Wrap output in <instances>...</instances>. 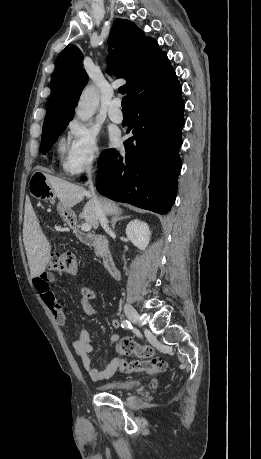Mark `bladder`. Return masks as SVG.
<instances>
[{
    "label": "bladder",
    "mask_w": 261,
    "mask_h": 459,
    "mask_svg": "<svg viewBox=\"0 0 261 459\" xmlns=\"http://www.w3.org/2000/svg\"><path fill=\"white\" fill-rule=\"evenodd\" d=\"M139 382L133 379L114 380L100 386L104 391H128L136 388Z\"/></svg>",
    "instance_id": "obj_1"
}]
</instances>
